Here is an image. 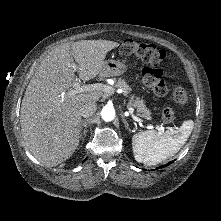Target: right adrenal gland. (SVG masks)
<instances>
[{
	"label": "right adrenal gland",
	"instance_id": "1",
	"mask_svg": "<svg viewBox=\"0 0 221 221\" xmlns=\"http://www.w3.org/2000/svg\"><path fill=\"white\" fill-rule=\"evenodd\" d=\"M89 122V119H84L81 121V126H80V132H81V137H85L87 133V124Z\"/></svg>",
	"mask_w": 221,
	"mask_h": 221
}]
</instances>
